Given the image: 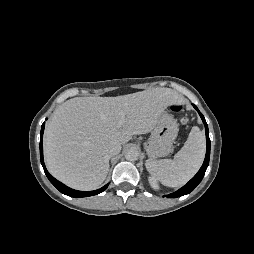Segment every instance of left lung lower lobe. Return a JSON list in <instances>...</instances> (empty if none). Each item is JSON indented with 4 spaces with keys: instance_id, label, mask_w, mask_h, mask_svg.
<instances>
[{
    "instance_id": "obj_1",
    "label": "left lung lower lobe",
    "mask_w": 254,
    "mask_h": 254,
    "mask_svg": "<svg viewBox=\"0 0 254 254\" xmlns=\"http://www.w3.org/2000/svg\"><path fill=\"white\" fill-rule=\"evenodd\" d=\"M193 107L198 111L204 125H205V132H206V142H207V150H206V156H205V160L203 162L202 167L200 168V170L198 171V173L182 188H180L179 190H177L174 193H171L169 195H167V197L170 198H176V197H180L186 194H189L190 192H192L195 187L201 182L202 178L204 177L205 171L209 165V158H210V139H209V130H208V125L205 121L204 116L201 114V112L198 110V108L193 104Z\"/></svg>"
}]
</instances>
